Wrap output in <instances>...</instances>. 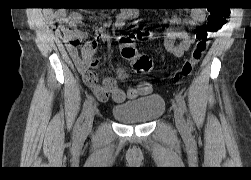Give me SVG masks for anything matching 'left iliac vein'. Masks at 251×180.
I'll use <instances>...</instances> for the list:
<instances>
[{
  "label": "left iliac vein",
  "mask_w": 251,
  "mask_h": 180,
  "mask_svg": "<svg viewBox=\"0 0 251 180\" xmlns=\"http://www.w3.org/2000/svg\"><path fill=\"white\" fill-rule=\"evenodd\" d=\"M174 118H175L176 127L180 131H185L187 127L186 121H185L182 110L176 104L174 105Z\"/></svg>",
  "instance_id": "left-iliac-vein-1"
}]
</instances>
